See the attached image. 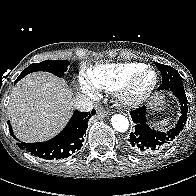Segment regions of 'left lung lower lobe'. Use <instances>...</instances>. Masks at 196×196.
Instances as JSON below:
<instances>
[{
    "instance_id": "left-lung-lower-lobe-1",
    "label": "left lung lower lobe",
    "mask_w": 196,
    "mask_h": 196,
    "mask_svg": "<svg viewBox=\"0 0 196 196\" xmlns=\"http://www.w3.org/2000/svg\"><path fill=\"white\" fill-rule=\"evenodd\" d=\"M159 69L162 73V82L170 87L169 90L179 100L181 116L173 128L167 132H160L151 129L147 124L145 106L131 111L135 126L125 145L128 150L141 156H151L165 150L178 137L187 121L188 102L184 87L178 81L179 75L177 71L165 66L159 67ZM159 89L162 90L161 86Z\"/></svg>"
}]
</instances>
